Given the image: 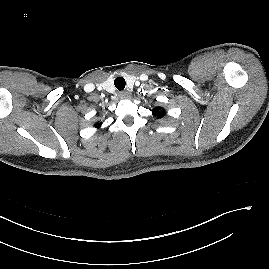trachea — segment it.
Here are the masks:
<instances>
[{"instance_id": "trachea-1", "label": "trachea", "mask_w": 269, "mask_h": 269, "mask_svg": "<svg viewBox=\"0 0 269 269\" xmlns=\"http://www.w3.org/2000/svg\"><path fill=\"white\" fill-rule=\"evenodd\" d=\"M114 84H115L116 88H117L119 91H122V90H124V88H125L126 82H125V79H124L123 77H117V78L114 80Z\"/></svg>"}]
</instances>
